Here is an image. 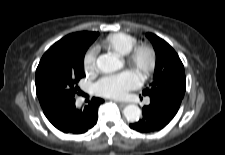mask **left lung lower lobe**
Returning <instances> with one entry per match:
<instances>
[{"label":"left lung lower lobe","mask_w":225,"mask_h":155,"mask_svg":"<svg viewBox=\"0 0 225 155\" xmlns=\"http://www.w3.org/2000/svg\"><path fill=\"white\" fill-rule=\"evenodd\" d=\"M181 101L178 97L150 98V104L143 107V118L130 128L142 133L163 129L178 112Z\"/></svg>","instance_id":"obj_1"}]
</instances>
